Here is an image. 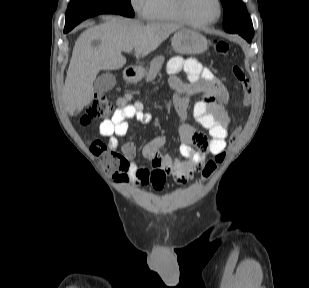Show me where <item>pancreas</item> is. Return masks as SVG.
Masks as SVG:
<instances>
[{
    "label": "pancreas",
    "mask_w": 309,
    "mask_h": 288,
    "mask_svg": "<svg viewBox=\"0 0 309 288\" xmlns=\"http://www.w3.org/2000/svg\"><path fill=\"white\" fill-rule=\"evenodd\" d=\"M164 57L163 56H157L154 59H152L150 63V68L145 74L146 81H152L155 79L156 75L159 73L163 63H164Z\"/></svg>",
    "instance_id": "cf45deb5"
}]
</instances>
